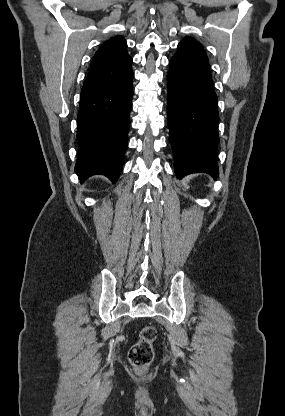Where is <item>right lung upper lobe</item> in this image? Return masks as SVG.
Returning <instances> with one entry per match:
<instances>
[{
  "label": "right lung upper lobe",
  "instance_id": "cb5924a9",
  "mask_svg": "<svg viewBox=\"0 0 285 416\" xmlns=\"http://www.w3.org/2000/svg\"><path fill=\"white\" fill-rule=\"evenodd\" d=\"M131 63L125 39L121 36L109 39L96 52L81 95L119 81L132 71Z\"/></svg>",
  "mask_w": 285,
  "mask_h": 416
}]
</instances>
